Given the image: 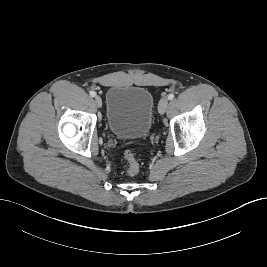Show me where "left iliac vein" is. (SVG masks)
<instances>
[{
  "instance_id": "obj_1",
  "label": "left iliac vein",
  "mask_w": 267,
  "mask_h": 267,
  "mask_svg": "<svg viewBox=\"0 0 267 267\" xmlns=\"http://www.w3.org/2000/svg\"><path fill=\"white\" fill-rule=\"evenodd\" d=\"M168 106V99L166 97L162 98L158 105V111L160 114H164Z\"/></svg>"
}]
</instances>
